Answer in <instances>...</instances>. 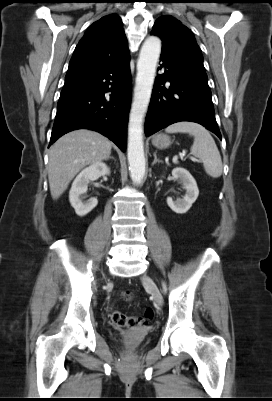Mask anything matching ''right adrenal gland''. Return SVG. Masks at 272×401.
Here are the masks:
<instances>
[{
    "label": "right adrenal gland",
    "mask_w": 272,
    "mask_h": 401,
    "mask_svg": "<svg viewBox=\"0 0 272 401\" xmlns=\"http://www.w3.org/2000/svg\"><path fill=\"white\" fill-rule=\"evenodd\" d=\"M109 159H113V160H115V159H114V157H112V156H109V157H107L106 161H107V160H109Z\"/></svg>",
    "instance_id": "obj_1"
}]
</instances>
